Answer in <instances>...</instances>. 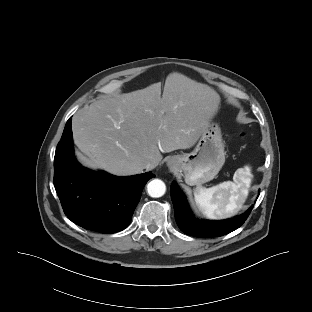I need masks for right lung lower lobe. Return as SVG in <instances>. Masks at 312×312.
<instances>
[{
    "label": "right lung lower lobe",
    "mask_w": 312,
    "mask_h": 312,
    "mask_svg": "<svg viewBox=\"0 0 312 312\" xmlns=\"http://www.w3.org/2000/svg\"><path fill=\"white\" fill-rule=\"evenodd\" d=\"M72 140L70 118L54 158V186L66 216L85 229L101 233L125 229L152 172L128 177L93 172L77 162Z\"/></svg>",
    "instance_id": "98d812e1"
}]
</instances>
